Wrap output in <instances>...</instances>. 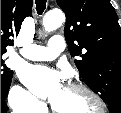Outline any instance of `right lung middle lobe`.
<instances>
[{
  "instance_id": "1",
  "label": "right lung middle lobe",
  "mask_w": 121,
  "mask_h": 113,
  "mask_svg": "<svg viewBox=\"0 0 121 113\" xmlns=\"http://www.w3.org/2000/svg\"><path fill=\"white\" fill-rule=\"evenodd\" d=\"M4 53L5 51L1 52V84H9L13 77V72L6 67L4 61L2 60V55Z\"/></svg>"
}]
</instances>
